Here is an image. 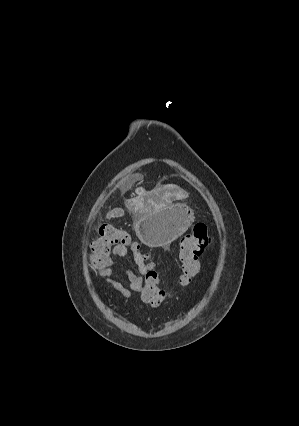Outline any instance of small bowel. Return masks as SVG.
Returning <instances> with one entry per match:
<instances>
[{
	"label": "small bowel",
	"instance_id": "small-bowel-1",
	"mask_svg": "<svg viewBox=\"0 0 299 426\" xmlns=\"http://www.w3.org/2000/svg\"><path fill=\"white\" fill-rule=\"evenodd\" d=\"M128 254L133 256L134 262L137 265V270L134 271L132 269L125 268L121 271H117L115 258H122ZM98 271L100 277H102L107 284L119 292L123 297L126 299H132L133 294H136L142 301L141 292L147 272V266L143 260L142 253L138 249L126 246L114 247L112 254L108 256L103 266ZM117 275L120 277V281L115 279V276Z\"/></svg>",
	"mask_w": 299,
	"mask_h": 426
}]
</instances>
